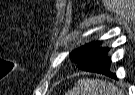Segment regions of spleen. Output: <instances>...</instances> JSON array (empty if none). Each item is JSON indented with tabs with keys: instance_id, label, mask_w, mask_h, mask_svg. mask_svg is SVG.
Here are the masks:
<instances>
[{
	"instance_id": "3e777b00",
	"label": "spleen",
	"mask_w": 135,
	"mask_h": 95,
	"mask_svg": "<svg viewBox=\"0 0 135 95\" xmlns=\"http://www.w3.org/2000/svg\"><path fill=\"white\" fill-rule=\"evenodd\" d=\"M66 95H119L118 88L110 82L97 79H80Z\"/></svg>"
}]
</instances>
